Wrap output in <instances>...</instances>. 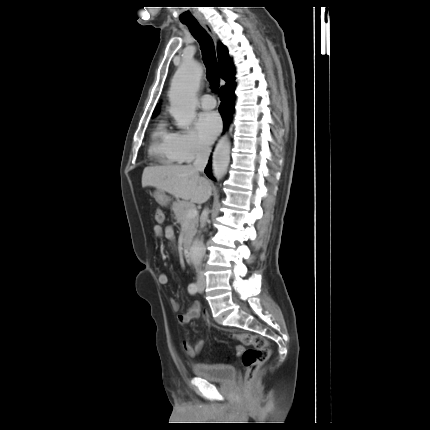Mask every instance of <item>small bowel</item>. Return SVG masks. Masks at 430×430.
Masks as SVG:
<instances>
[{"label": "small bowel", "mask_w": 430, "mask_h": 430, "mask_svg": "<svg viewBox=\"0 0 430 430\" xmlns=\"http://www.w3.org/2000/svg\"><path fill=\"white\" fill-rule=\"evenodd\" d=\"M153 233L156 237L164 236L172 243H174L175 241L174 230L171 226H167L165 229H163L160 225H156L153 228ZM158 281L161 285H167L169 281L167 274L160 273L158 276ZM171 306L174 311H177L179 309V304L175 300H171ZM200 312H201V305L200 303L195 302L189 307V309L185 313L180 314L177 317V320L182 325L188 324L192 320L198 318L200 316ZM182 346L184 351L190 358H195L199 355V353L203 349L204 340L202 338H199L193 344L188 338H185L182 342ZM238 347L242 348L241 346H238Z\"/></svg>", "instance_id": "1"}]
</instances>
